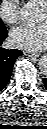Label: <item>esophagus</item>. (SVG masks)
Returning a JSON list of instances; mask_svg holds the SVG:
<instances>
[{
	"mask_svg": "<svg viewBox=\"0 0 47 129\" xmlns=\"http://www.w3.org/2000/svg\"><path fill=\"white\" fill-rule=\"evenodd\" d=\"M23 53L25 55H28V56H31V57H39L38 53H33V52H30V51H24Z\"/></svg>",
	"mask_w": 47,
	"mask_h": 129,
	"instance_id": "obj_1",
	"label": "esophagus"
}]
</instances>
